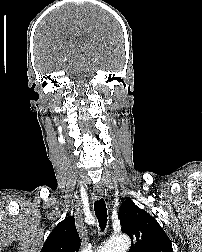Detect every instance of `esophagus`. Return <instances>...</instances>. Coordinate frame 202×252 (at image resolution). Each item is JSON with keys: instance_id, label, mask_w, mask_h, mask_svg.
<instances>
[{"instance_id": "34e87169", "label": "esophagus", "mask_w": 202, "mask_h": 252, "mask_svg": "<svg viewBox=\"0 0 202 252\" xmlns=\"http://www.w3.org/2000/svg\"><path fill=\"white\" fill-rule=\"evenodd\" d=\"M103 195V191L100 187H95L93 190V197L95 199H100Z\"/></svg>"}]
</instances>
